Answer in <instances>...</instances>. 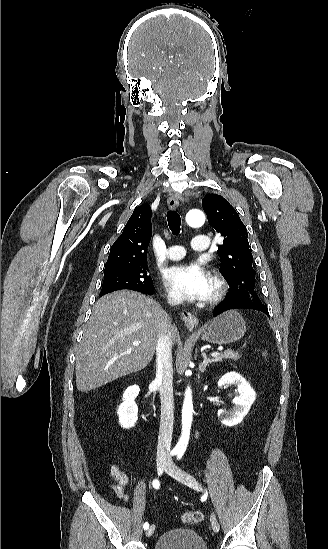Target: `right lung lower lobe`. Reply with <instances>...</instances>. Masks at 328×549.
<instances>
[{
	"instance_id": "98d812e1",
	"label": "right lung lower lobe",
	"mask_w": 328,
	"mask_h": 549,
	"mask_svg": "<svg viewBox=\"0 0 328 549\" xmlns=\"http://www.w3.org/2000/svg\"><path fill=\"white\" fill-rule=\"evenodd\" d=\"M153 291H154V290H151V291H149V292H146L145 294H149V293H152Z\"/></svg>"
}]
</instances>
